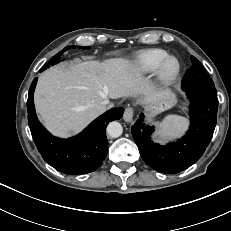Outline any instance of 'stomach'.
Segmentation results:
<instances>
[{"label": "stomach", "instance_id": "0dacf381", "mask_svg": "<svg viewBox=\"0 0 231 231\" xmlns=\"http://www.w3.org/2000/svg\"><path fill=\"white\" fill-rule=\"evenodd\" d=\"M175 103V96L172 93L167 92V94L163 98L151 103L148 109L151 113H156L166 108L172 107L173 105H175Z\"/></svg>", "mask_w": 231, "mask_h": 231}]
</instances>
